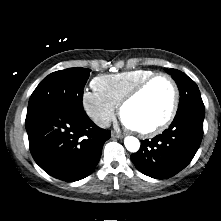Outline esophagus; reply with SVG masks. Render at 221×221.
<instances>
[{
  "label": "esophagus",
  "instance_id": "esophagus-1",
  "mask_svg": "<svg viewBox=\"0 0 221 221\" xmlns=\"http://www.w3.org/2000/svg\"><path fill=\"white\" fill-rule=\"evenodd\" d=\"M112 137H115V138H123V135L122 134H119L115 131L112 132Z\"/></svg>",
  "mask_w": 221,
  "mask_h": 221
}]
</instances>
